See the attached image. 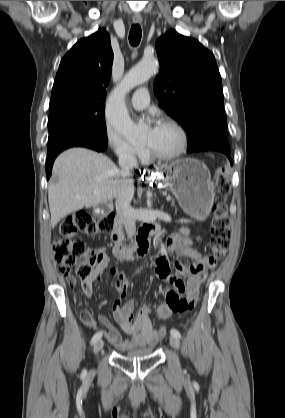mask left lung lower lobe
<instances>
[{"instance_id":"left-lung-lower-lobe-1","label":"left lung lower lobe","mask_w":285,"mask_h":418,"mask_svg":"<svg viewBox=\"0 0 285 418\" xmlns=\"http://www.w3.org/2000/svg\"><path fill=\"white\" fill-rule=\"evenodd\" d=\"M208 150H215V151H220L222 153H224L230 160L231 164L232 162V158H231V152L230 150H226V149H222V148H217V147H204V148H200L197 150H194L192 152H198V151H208Z\"/></svg>"}]
</instances>
